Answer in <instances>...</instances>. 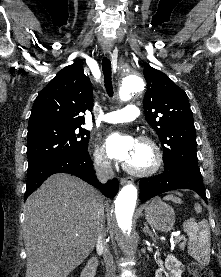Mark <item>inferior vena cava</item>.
<instances>
[{"label": "inferior vena cava", "mask_w": 221, "mask_h": 277, "mask_svg": "<svg viewBox=\"0 0 221 277\" xmlns=\"http://www.w3.org/2000/svg\"><path fill=\"white\" fill-rule=\"evenodd\" d=\"M97 178L100 182L105 183L114 177L111 163L108 161H100L95 165ZM96 248L102 251L103 259L106 266V276L115 277V265L109 247L105 241V215L104 206L100 204L96 212Z\"/></svg>", "instance_id": "obj_1"}]
</instances>
